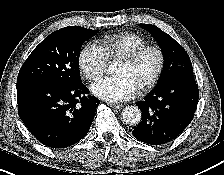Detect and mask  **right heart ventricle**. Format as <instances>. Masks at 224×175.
Returning <instances> with one entry per match:
<instances>
[{"instance_id":"right-heart-ventricle-1","label":"right heart ventricle","mask_w":224,"mask_h":175,"mask_svg":"<svg viewBox=\"0 0 224 175\" xmlns=\"http://www.w3.org/2000/svg\"><path fill=\"white\" fill-rule=\"evenodd\" d=\"M147 45V41L139 34L122 32L104 37L100 47L108 59H123L137 49Z\"/></svg>"}]
</instances>
